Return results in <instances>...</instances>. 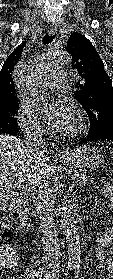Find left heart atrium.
<instances>
[{
  "label": "left heart atrium",
  "instance_id": "left-heart-atrium-1",
  "mask_svg": "<svg viewBox=\"0 0 113 279\" xmlns=\"http://www.w3.org/2000/svg\"><path fill=\"white\" fill-rule=\"evenodd\" d=\"M73 117V110L66 100L53 103L46 112L47 125L56 132H63Z\"/></svg>",
  "mask_w": 113,
  "mask_h": 279
}]
</instances>
